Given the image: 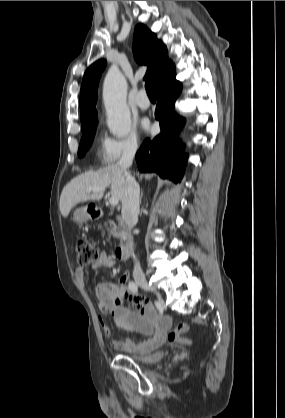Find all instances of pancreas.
<instances>
[{"label": "pancreas", "mask_w": 285, "mask_h": 418, "mask_svg": "<svg viewBox=\"0 0 285 418\" xmlns=\"http://www.w3.org/2000/svg\"><path fill=\"white\" fill-rule=\"evenodd\" d=\"M105 227L110 236H113L120 240L123 239L124 237L123 231L119 226H117V224L114 221H109L105 223Z\"/></svg>", "instance_id": "1"}]
</instances>
